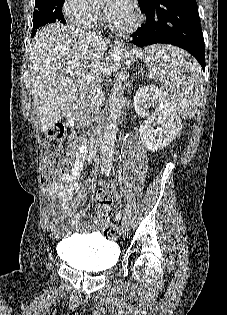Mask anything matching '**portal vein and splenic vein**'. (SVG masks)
<instances>
[{
    "label": "portal vein and splenic vein",
    "instance_id": "18ae733b",
    "mask_svg": "<svg viewBox=\"0 0 227 315\" xmlns=\"http://www.w3.org/2000/svg\"><path fill=\"white\" fill-rule=\"evenodd\" d=\"M74 63H75V62H74ZM66 71H67V72H70L71 70H70V68H68V69H66ZM89 79L94 80L95 78H94V77H90ZM91 93L93 94V96H94L95 98H99V97L103 94V92H102L101 89H99V88L94 89Z\"/></svg>",
    "mask_w": 227,
    "mask_h": 315
}]
</instances>
